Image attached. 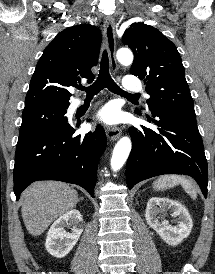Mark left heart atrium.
<instances>
[{
    "instance_id": "obj_1",
    "label": "left heart atrium",
    "mask_w": 215,
    "mask_h": 274,
    "mask_svg": "<svg viewBox=\"0 0 215 274\" xmlns=\"http://www.w3.org/2000/svg\"><path fill=\"white\" fill-rule=\"evenodd\" d=\"M96 119L106 125H114L119 120V113L113 105H106L96 114Z\"/></svg>"
}]
</instances>
